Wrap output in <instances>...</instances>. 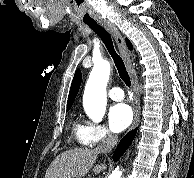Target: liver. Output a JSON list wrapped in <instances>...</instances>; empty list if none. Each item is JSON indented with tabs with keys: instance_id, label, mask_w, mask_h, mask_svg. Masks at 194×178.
Masks as SVG:
<instances>
[{
	"instance_id": "6515ba94",
	"label": "liver",
	"mask_w": 194,
	"mask_h": 178,
	"mask_svg": "<svg viewBox=\"0 0 194 178\" xmlns=\"http://www.w3.org/2000/svg\"><path fill=\"white\" fill-rule=\"evenodd\" d=\"M98 152L92 149H72L58 155L46 171L45 178H81L88 173L97 159ZM105 164L94 166L93 172L100 173Z\"/></svg>"
}]
</instances>
